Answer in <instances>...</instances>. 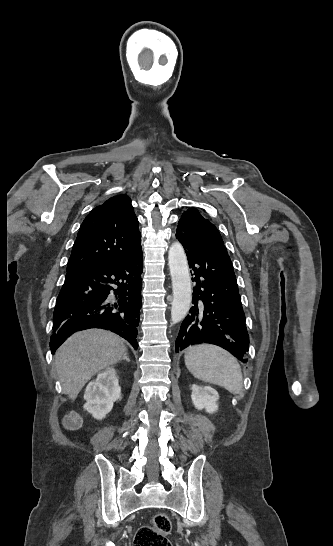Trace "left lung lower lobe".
<instances>
[{
  "mask_svg": "<svg viewBox=\"0 0 333 546\" xmlns=\"http://www.w3.org/2000/svg\"><path fill=\"white\" fill-rule=\"evenodd\" d=\"M176 238L186 250L195 283L194 306L181 324L176 352L204 342L228 350L245 363L249 335L230 257L200 242L180 224Z\"/></svg>",
  "mask_w": 333,
  "mask_h": 546,
  "instance_id": "1",
  "label": "left lung lower lobe"
}]
</instances>
